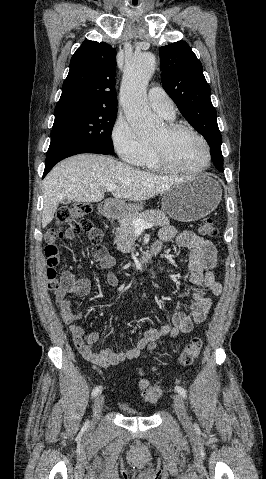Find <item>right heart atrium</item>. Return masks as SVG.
<instances>
[{
    "mask_svg": "<svg viewBox=\"0 0 266 479\" xmlns=\"http://www.w3.org/2000/svg\"><path fill=\"white\" fill-rule=\"evenodd\" d=\"M111 141L116 153L126 163L139 165L150 153L149 142L141 139L130 123L119 116L111 130Z\"/></svg>",
    "mask_w": 266,
    "mask_h": 479,
    "instance_id": "d8ad5b80",
    "label": "right heart atrium"
}]
</instances>
